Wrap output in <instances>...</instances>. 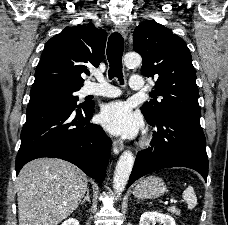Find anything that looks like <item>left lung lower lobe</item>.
<instances>
[{
    "label": "left lung lower lobe",
    "instance_id": "0a47b994",
    "mask_svg": "<svg viewBox=\"0 0 228 225\" xmlns=\"http://www.w3.org/2000/svg\"><path fill=\"white\" fill-rule=\"evenodd\" d=\"M200 116L184 112H167L147 122L157 128L151 147L140 151L135 160L128 187L140 177L163 168L188 167L208 175L206 141Z\"/></svg>",
    "mask_w": 228,
    "mask_h": 225
}]
</instances>
